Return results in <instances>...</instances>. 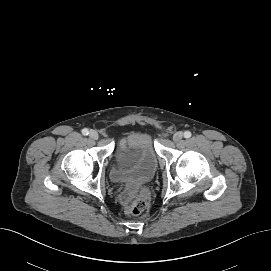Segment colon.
Segmentation results:
<instances>
[{
	"instance_id": "obj_1",
	"label": "colon",
	"mask_w": 271,
	"mask_h": 271,
	"mask_svg": "<svg viewBox=\"0 0 271 271\" xmlns=\"http://www.w3.org/2000/svg\"><path fill=\"white\" fill-rule=\"evenodd\" d=\"M148 206V203L145 199H138L134 203L126 207V212L129 215L137 216L143 213Z\"/></svg>"
}]
</instances>
